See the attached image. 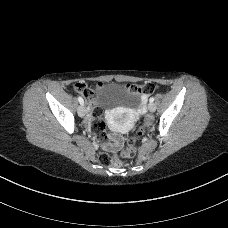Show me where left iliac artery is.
<instances>
[{
	"label": "left iliac artery",
	"mask_w": 228,
	"mask_h": 228,
	"mask_svg": "<svg viewBox=\"0 0 228 228\" xmlns=\"http://www.w3.org/2000/svg\"><path fill=\"white\" fill-rule=\"evenodd\" d=\"M149 101H150V103L154 102V97H151V98L149 99Z\"/></svg>",
	"instance_id": "left-iliac-artery-1"
}]
</instances>
